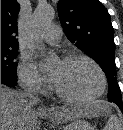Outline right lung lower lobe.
Instances as JSON below:
<instances>
[{
    "label": "right lung lower lobe",
    "mask_w": 123,
    "mask_h": 130,
    "mask_svg": "<svg viewBox=\"0 0 123 130\" xmlns=\"http://www.w3.org/2000/svg\"><path fill=\"white\" fill-rule=\"evenodd\" d=\"M1 84L13 87L17 85V80L1 76Z\"/></svg>",
    "instance_id": "98d812e1"
}]
</instances>
